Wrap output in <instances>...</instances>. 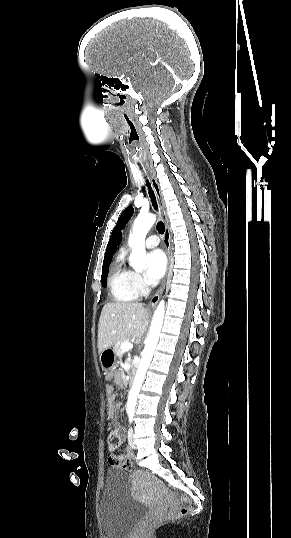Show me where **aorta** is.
Returning a JSON list of instances; mask_svg holds the SVG:
<instances>
[{"mask_svg": "<svg viewBox=\"0 0 291 538\" xmlns=\"http://www.w3.org/2000/svg\"><path fill=\"white\" fill-rule=\"evenodd\" d=\"M156 222V216L153 214H139L133 225V232L129 237V244L132 246V253L129 258L130 265L136 270L141 271L145 267L146 252L145 238L148 231ZM165 312L164 301L162 300L154 312L149 333L145 339V347L142 357L128 395L126 405L127 414H134L137 397L144 381L148 366L150 365L154 350L159 340L163 318Z\"/></svg>", "mask_w": 291, "mask_h": 538, "instance_id": "762f6f07", "label": "aorta"}]
</instances>
